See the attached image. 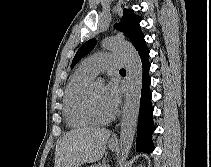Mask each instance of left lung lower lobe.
Returning a JSON list of instances; mask_svg holds the SVG:
<instances>
[{
    "mask_svg": "<svg viewBox=\"0 0 211 167\" xmlns=\"http://www.w3.org/2000/svg\"><path fill=\"white\" fill-rule=\"evenodd\" d=\"M149 52L140 55L142 63V90L140 111L137 129L136 151L151 153L154 150L152 134L155 130L153 123V107L151 103L152 92L150 91L151 77L149 76L150 62Z\"/></svg>",
    "mask_w": 211,
    "mask_h": 167,
    "instance_id": "1",
    "label": "left lung lower lobe"
}]
</instances>
